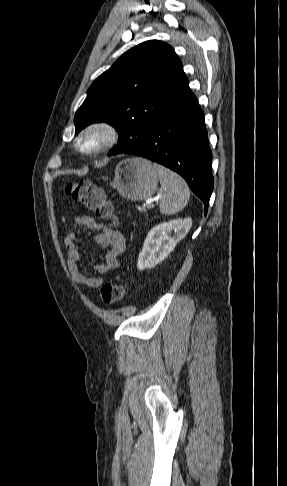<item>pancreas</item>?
Returning a JSON list of instances; mask_svg holds the SVG:
<instances>
[{
	"mask_svg": "<svg viewBox=\"0 0 287 486\" xmlns=\"http://www.w3.org/2000/svg\"><path fill=\"white\" fill-rule=\"evenodd\" d=\"M145 211H146V209H145V208H142V209H141V212H145Z\"/></svg>",
	"mask_w": 287,
	"mask_h": 486,
	"instance_id": "obj_1",
	"label": "pancreas"
}]
</instances>
